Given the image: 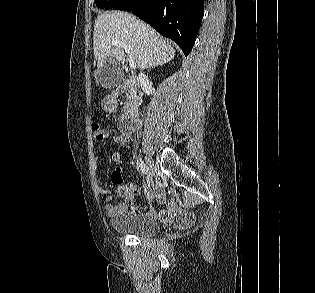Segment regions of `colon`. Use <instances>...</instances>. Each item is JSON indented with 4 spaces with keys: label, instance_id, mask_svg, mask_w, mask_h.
<instances>
[{
    "label": "colon",
    "instance_id": "obj_1",
    "mask_svg": "<svg viewBox=\"0 0 315 293\" xmlns=\"http://www.w3.org/2000/svg\"><path fill=\"white\" fill-rule=\"evenodd\" d=\"M92 128H93L94 138L96 140L102 141L106 138L107 133H106L105 129L102 126H100L98 123H95ZM112 178H113L114 184H116L118 186V193L121 196H123L122 195L123 190H130V189L126 188L125 185L121 184V174L119 172H114Z\"/></svg>",
    "mask_w": 315,
    "mask_h": 293
}]
</instances>
